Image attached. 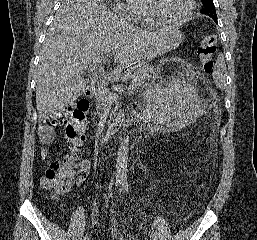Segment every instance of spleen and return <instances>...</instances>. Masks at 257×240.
I'll list each match as a JSON object with an SVG mask.
<instances>
[{
  "mask_svg": "<svg viewBox=\"0 0 257 240\" xmlns=\"http://www.w3.org/2000/svg\"><path fill=\"white\" fill-rule=\"evenodd\" d=\"M213 79L215 84L220 88L224 89L226 85V65L224 58L220 55L217 59L215 70L213 72Z\"/></svg>",
  "mask_w": 257,
  "mask_h": 240,
  "instance_id": "1",
  "label": "spleen"
}]
</instances>
